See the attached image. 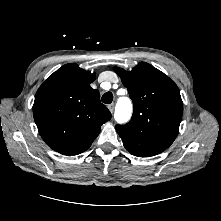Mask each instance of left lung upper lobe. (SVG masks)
I'll use <instances>...</instances> for the list:
<instances>
[{
	"mask_svg": "<svg viewBox=\"0 0 221 221\" xmlns=\"http://www.w3.org/2000/svg\"><path fill=\"white\" fill-rule=\"evenodd\" d=\"M133 101V115L126 125H116L125 148L138 157L157 155L175 140L183 103L177 85L163 72L141 62L127 72L116 67Z\"/></svg>",
	"mask_w": 221,
	"mask_h": 221,
	"instance_id": "left-lung-upper-lobe-1",
	"label": "left lung upper lobe"
}]
</instances>
